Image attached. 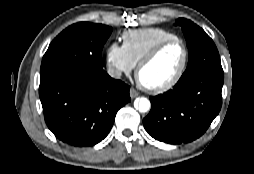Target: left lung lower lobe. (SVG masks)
<instances>
[{
    "label": "left lung lower lobe",
    "mask_w": 254,
    "mask_h": 174,
    "mask_svg": "<svg viewBox=\"0 0 254 174\" xmlns=\"http://www.w3.org/2000/svg\"><path fill=\"white\" fill-rule=\"evenodd\" d=\"M223 81V74H202L150 97L151 110L143 119L144 128L156 140L169 144L199 138L221 109Z\"/></svg>",
    "instance_id": "obj_1"
}]
</instances>
